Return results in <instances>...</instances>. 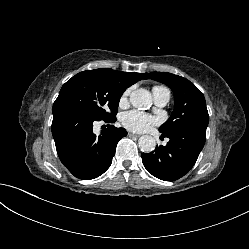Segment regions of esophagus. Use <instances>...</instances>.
<instances>
[{
  "label": "esophagus",
  "mask_w": 249,
  "mask_h": 249,
  "mask_svg": "<svg viewBox=\"0 0 249 249\" xmlns=\"http://www.w3.org/2000/svg\"><path fill=\"white\" fill-rule=\"evenodd\" d=\"M128 136H129V137H139L138 134H135V133H132V132H129V133H128Z\"/></svg>",
  "instance_id": "1"
}]
</instances>
